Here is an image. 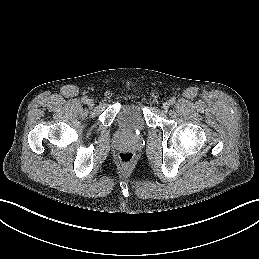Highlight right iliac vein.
<instances>
[{
  "mask_svg": "<svg viewBox=\"0 0 259 259\" xmlns=\"http://www.w3.org/2000/svg\"><path fill=\"white\" fill-rule=\"evenodd\" d=\"M89 107H93L94 106V101L92 99H89L87 102Z\"/></svg>",
  "mask_w": 259,
  "mask_h": 259,
  "instance_id": "right-iliac-vein-1",
  "label": "right iliac vein"
}]
</instances>
